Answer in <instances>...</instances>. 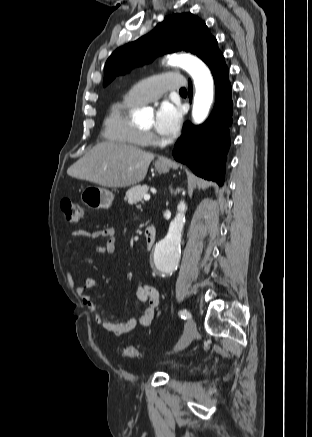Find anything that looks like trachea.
<instances>
[{"label":"trachea","instance_id":"3493384b","mask_svg":"<svg viewBox=\"0 0 312 437\" xmlns=\"http://www.w3.org/2000/svg\"><path fill=\"white\" fill-rule=\"evenodd\" d=\"M179 92L180 93H187V90L185 88H181Z\"/></svg>","mask_w":312,"mask_h":437}]
</instances>
